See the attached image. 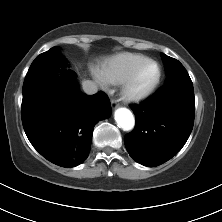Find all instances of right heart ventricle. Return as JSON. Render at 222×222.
<instances>
[{"label": "right heart ventricle", "mask_w": 222, "mask_h": 222, "mask_svg": "<svg viewBox=\"0 0 222 222\" xmlns=\"http://www.w3.org/2000/svg\"><path fill=\"white\" fill-rule=\"evenodd\" d=\"M145 60L146 56L136 53L115 55L99 69V78L107 84H120Z\"/></svg>", "instance_id": "obj_1"}]
</instances>
